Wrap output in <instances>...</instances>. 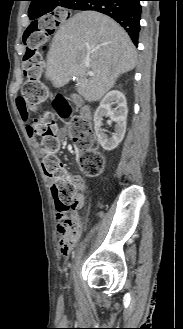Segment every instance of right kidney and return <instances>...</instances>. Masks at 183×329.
Returning a JSON list of instances; mask_svg holds the SVG:
<instances>
[{
	"mask_svg": "<svg viewBox=\"0 0 183 329\" xmlns=\"http://www.w3.org/2000/svg\"><path fill=\"white\" fill-rule=\"evenodd\" d=\"M115 104L117 107L113 108ZM127 114L126 98L120 91H110L101 100L94 114V129L97 140L104 150L111 151L115 149L123 140L126 132ZM104 116H109L116 123L115 133L111 137L105 134L102 128V119Z\"/></svg>",
	"mask_w": 183,
	"mask_h": 329,
	"instance_id": "1",
	"label": "right kidney"
}]
</instances>
